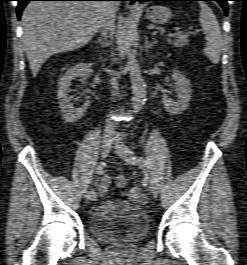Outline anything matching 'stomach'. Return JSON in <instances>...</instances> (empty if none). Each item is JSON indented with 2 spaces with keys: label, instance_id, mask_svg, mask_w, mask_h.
<instances>
[{
  "label": "stomach",
  "instance_id": "1",
  "mask_svg": "<svg viewBox=\"0 0 247 265\" xmlns=\"http://www.w3.org/2000/svg\"><path fill=\"white\" fill-rule=\"evenodd\" d=\"M146 18L155 24H163L172 17L171 10L165 6L154 5L146 10Z\"/></svg>",
  "mask_w": 247,
  "mask_h": 265
}]
</instances>
